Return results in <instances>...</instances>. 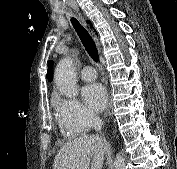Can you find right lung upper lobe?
I'll list each match as a JSON object with an SVG mask.
<instances>
[{
	"instance_id": "obj_1",
	"label": "right lung upper lobe",
	"mask_w": 177,
	"mask_h": 169,
	"mask_svg": "<svg viewBox=\"0 0 177 169\" xmlns=\"http://www.w3.org/2000/svg\"><path fill=\"white\" fill-rule=\"evenodd\" d=\"M50 63H52V61H50ZM47 78L49 81L52 80V71L50 66L48 67Z\"/></svg>"
}]
</instances>
